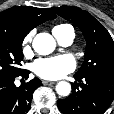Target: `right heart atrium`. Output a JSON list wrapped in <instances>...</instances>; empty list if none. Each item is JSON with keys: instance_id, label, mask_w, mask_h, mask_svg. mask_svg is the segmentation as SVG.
<instances>
[{"instance_id": "obj_1", "label": "right heart atrium", "mask_w": 114, "mask_h": 114, "mask_svg": "<svg viewBox=\"0 0 114 114\" xmlns=\"http://www.w3.org/2000/svg\"><path fill=\"white\" fill-rule=\"evenodd\" d=\"M31 40H32V33H29L23 40V50H24V52L29 51Z\"/></svg>"}]
</instances>
